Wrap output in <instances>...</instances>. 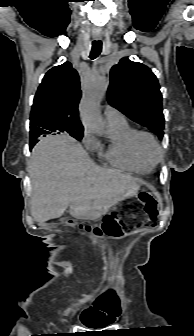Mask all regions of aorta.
<instances>
[{
  "label": "aorta",
  "mask_w": 194,
  "mask_h": 336,
  "mask_svg": "<svg viewBox=\"0 0 194 336\" xmlns=\"http://www.w3.org/2000/svg\"><path fill=\"white\" fill-rule=\"evenodd\" d=\"M108 88L104 77L91 80L83 93L80 103V116L85 129L97 135L106 132V124L100 114L99 105Z\"/></svg>",
  "instance_id": "1"
}]
</instances>
